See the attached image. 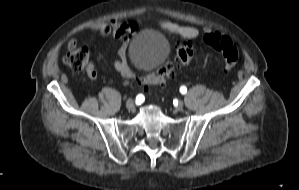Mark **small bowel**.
Instances as JSON below:
<instances>
[{
    "label": "small bowel",
    "mask_w": 299,
    "mask_h": 190,
    "mask_svg": "<svg viewBox=\"0 0 299 190\" xmlns=\"http://www.w3.org/2000/svg\"><path fill=\"white\" fill-rule=\"evenodd\" d=\"M160 26L167 31L177 34L186 39H194L199 35V30L194 26L181 25L173 21H161ZM137 27V21H131L129 23L120 22L116 19H112L108 22L99 24L96 27V32L103 38L114 37L122 41V45L118 49V58L114 62L116 71L125 78L133 77V70L128 62L127 58V43L133 36ZM76 45V42L71 40L68 43V47ZM87 74L91 80H95L97 77L94 65L90 63L87 67Z\"/></svg>",
    "instance_id": "small-bowel-1"
}]
</instances>
